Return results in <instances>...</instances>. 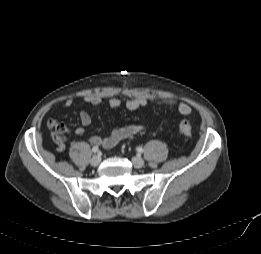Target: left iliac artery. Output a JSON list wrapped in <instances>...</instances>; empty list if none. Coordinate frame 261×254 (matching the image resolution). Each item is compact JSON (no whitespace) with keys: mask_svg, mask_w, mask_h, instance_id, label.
<instances>
[{"mask_svg":"<svg viewBox=\"0 0 261 254\" xmlns=\"http://www.w3.org/2000/svg\"><path fill=\"white\" fill-rule=\"evenodd\" d=\"M137 151H138L139 153H142V152H143V148H142V147H138V148H137Z\"/></svg>","mask_w":261,"mask_h":254,"instance_id":"44dca946","label":"left iliac artery"}]
</instances>
